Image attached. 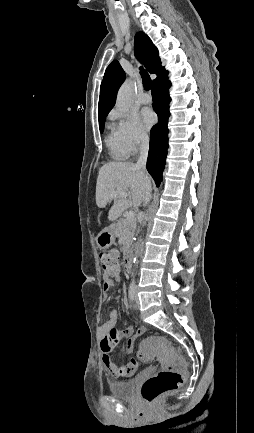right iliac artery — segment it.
<instances>
[{
  "label": "right iliac artery",
  "instance_id": "obj_1",
  "mask_svg": "<svg viewBox=\"0 0 254 433\" xmlns=\"http://www.w3.org/2000/svg\"><path fill=\"white\" fill-rule=\"evenodd\" d=\"M129 299L130 301H133L135 298V286L134 283H131L129 286Z\"/></svg>",
  "mask_w": 254,
  "mask_h": 433
}]
</instances>
